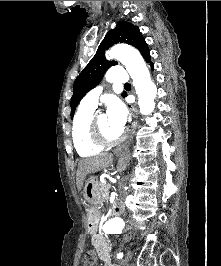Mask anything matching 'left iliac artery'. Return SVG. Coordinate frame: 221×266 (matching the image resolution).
I'll list each match as a JSON object with an SVG mask.
<instances>
[{
	"instance_id": "44dca946",
	"label": "left iliac artery",
	"mask_w": 221,
	"mask_h": 266,
	"mask_svg": "<svg viewBox=\"0 0 221 266\" xmlns=\"http://www.w3.org/2000/svg\"><path fill=\"white\" fill-rule=\"evenodd\" d=\"M123 257V253H119L118 255H117V258H122Z\"/></svg>"
}]
</instances>
